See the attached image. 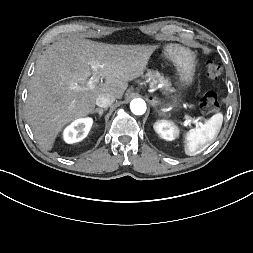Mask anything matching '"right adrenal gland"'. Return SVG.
<instances>
[{
	"label": "right adrenal gland",
	"mask_w": 253,
	"mask_h": 253,
	"mask_svg": "<svg viewBox=\"0 0 253 253\" xmlns=\"http://www.w3.org/2000/svg\"><path fill=\"white\" fill-rule=\"evenodd\" d=\"M104 111H107V108H105V109H95V110L93 111V114L98 113V114H99V117H101V116L103 115V112H104Z\"/></svg>",
	"instance_id": "2a0ac1e0"
}]
</instances>
